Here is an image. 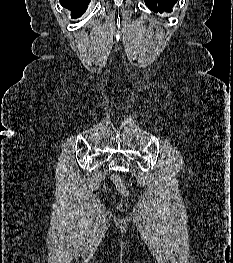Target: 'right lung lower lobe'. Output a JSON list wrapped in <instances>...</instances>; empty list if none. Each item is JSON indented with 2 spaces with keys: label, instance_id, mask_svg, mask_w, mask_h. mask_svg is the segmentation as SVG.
<instances>
[{
  "label": "right lung lower lobe",
  "instance_id": "1",
  "mask_svg": "<svg viewBox=\"0 0 233 263\" xmlns=\"http://www.w3.org/2000/svg\"><path fill=\"white\" fill-rule=\"evenodd\" d=\"M61 5L71 10L72 18L81 16L89 4L90 0H59Z\"/></svg>",
  "mask_w": 233,
  "mask_h": 263
}]
</instances>
